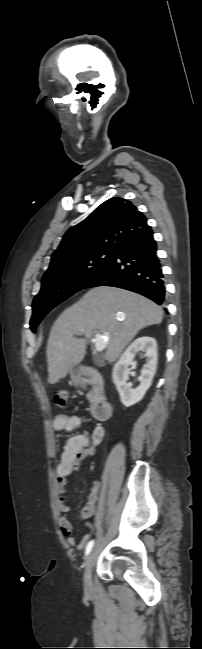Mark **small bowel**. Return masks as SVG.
Wrapping results in <instances>:
<instances>
[{
    "label": "small bowel",
    "mask_w": 202,
    "mask_h": 649,
    "mask_svg": "<svg viewBox=\"0 0 202 649\" xmlns=\"http://www.w3.org/2000/svg\"><path fill=\"white\" fill-rule=\"evenodd\" d=\"M82 418L77 415L59 414L53 419V428L57 431H73L80 427ZM104 436V429L100 423H96L90 435L75 434L66 440L64 450L56 467V486L58 491L59 508L62 517L59 520L61 533L67 537L68 543L75 546L77 550H83L89 539L88 534L82 536L77 542L73 534V526L68 519L71 510L67 501V479L78 469L80 462L94 454L97 445ZM100 482L95 480L91 492L87 497V503L81 510V516L86 520V527L91 529L93 522L90 520L95 511L98 500ZM88 544V543H87Z\"/></svg>",
    "instance_id": "obj_1"
}]
</instances>
